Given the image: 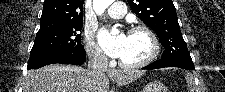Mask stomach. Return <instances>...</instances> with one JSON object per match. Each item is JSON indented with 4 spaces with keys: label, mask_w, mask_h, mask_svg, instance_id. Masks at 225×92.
<instances>
[{
    "label": "stomach",
    "mask_w": 225,
    "mask_h": 92,
    "mask_svg": "<svg viewBox=\"0 0 225 92\" xmlns=\"http://www.w3.org/2000/svg\"><path fill=\"white\" fill-rule=\"evenodd\" d=\"M142 92H166V89L161 83L154 81L144 86Z\"/></svg>",
    "instance_id": "0dacf381"
}]
</instances>
